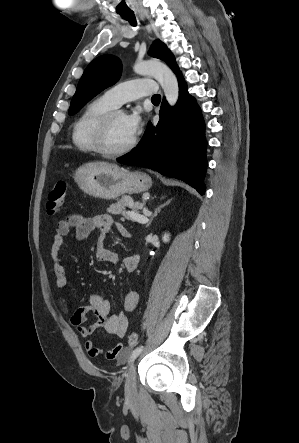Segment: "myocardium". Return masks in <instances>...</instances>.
<instances>
[{
	"instance_id": "obj_1",
	"label": "myocardium",
	"mask_w": 299,
	"mask_h": 443,
	"mask_svg": "<svg viewBox=\"0 0 299 443\" xmlns=\"http://www.w3.org/2000/svg\"><path fill=\"white\" fill-rule=\"evenodd\" d=\"M124 114L122 110L113 109L107 113H105L97 123L95 134H94V142L97 149V152L102 154L105 157L114 158L122 156L128 152H130L137 144L138 138L135 135L133 139L127 144L125 147L118 150H111L107 145V138L110 131V127L114 118L119 115Z\"/></svg>"
}]
</instances>
